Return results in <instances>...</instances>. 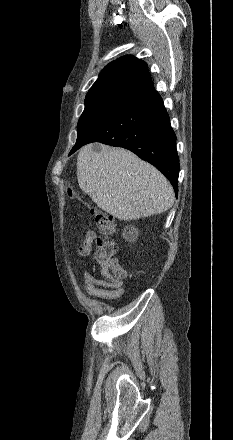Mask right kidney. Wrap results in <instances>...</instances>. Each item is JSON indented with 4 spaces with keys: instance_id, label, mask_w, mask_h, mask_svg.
<instances>
[{
    "instance_id": "right-kidney-1",
    "label": "right kidney",
    "mask_w": 233,
    "mask_h": 440,
    "mask_svg": "<svg viewBox=\"0 0 233 440\" xmlns=\"http://www.w3.org/2000/svg\"><path fill=\"white\" fill-rule=\"evenodd\" d=\"M123 235L127 240L131 239L128 235H126V233H124Z\"/></svg>"
}]
</instances>
